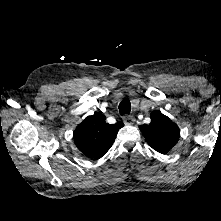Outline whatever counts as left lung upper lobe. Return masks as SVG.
<instances>
[{
  "mask_svg": "<svg viewBox=\"0 0 221 221\" xmlns=\"http://www.w3.org/2000/svg\"><path fill=\"white\" fill-rule=\"evenodd\" d=\"M151 123L139 128L148 144L157 152L166 154L179 138V128L160 111L150 114Z\"/></svg>",
  "mask_w": 221,
  "mask_h": 221,
  "instance_id": "5c2ea615",
  "label": "left lung upper lobe"
}]
</instances>
